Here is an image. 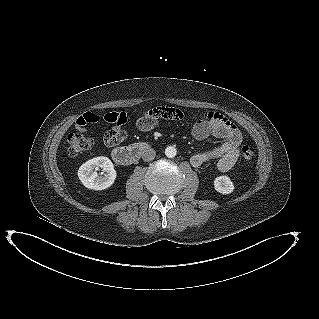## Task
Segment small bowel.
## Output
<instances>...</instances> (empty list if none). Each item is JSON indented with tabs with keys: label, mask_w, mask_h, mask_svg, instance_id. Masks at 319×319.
<instances>
[{
	"label": "small bowel",
	"mask_w": 319,
	"mask_h": 319,
	"mask_svg": "<svg viewBox=\"0 0 319 319\" xmlns=\"http://www.w3.org/2000/svg\"><path fill=\"white\" fill-rule=\"evenodd\" d=\"M184 117L182 110L174 107H154L137 121L136 126L141 131H150L158 126L160 120H180ZM100 117L92 112H87L78 118L76 128L79 131L85 129L88 124L96 123ZM192 135L197 140L215 136L222 140V143L212 150L194 154L190 162L194 167H200L211 161H216L220 171H228L237 162L240 156L242 133L239 128L229 119L220 114L208 113L192 127ZM128 136L126 130L114 126L104 134L103 140L109 147L117 146Z\"/></svg>",
	"instance_id": "c3829d8e"
}]
</instances>
